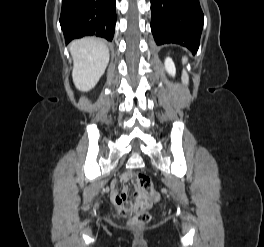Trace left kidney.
<instances>
[{
    "mask_svg": "<svg viewBox=\"0 0 264 247\" xmlns=\"http://www.w3.org/2000/svg\"><path fill=\"white\" fill-rule=\"evenodd\" d=\"M165 68L170 75L175 76L176 73L175 65L170 57H167L165 59Z\"/></svg>",
    "mask_w": 264,
    "mask_h": 247,
    "instance_id": "1",
    "label": "left kidney"
}]
</instances>
